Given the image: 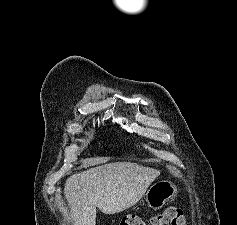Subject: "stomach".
I'll return each instance as SVG.
<instances>
[{
	"instance_id": "1",
	"label": "stomach",
	"mask_w": 237,
	"mask_h": 225,
	"mask_svg": "<svg viewBox=\"0 0 237 225\" xmlns=\"http://www.w3.org/2000/svg\"><path fill=\"white\" fill-rule=\"evenodd\" d=\"M178 189L170 180L155 182L146 193L148 206L154 210L161 209L167 202L176 197Z\"/></svg>"
}]
</instances>
